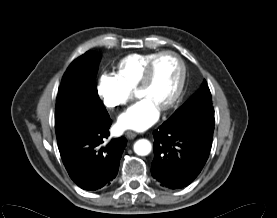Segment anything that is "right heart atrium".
Instances as JSON below:
<instances>
[{"mask_svg":"<svg viewBox=\"0 0 277 218\" xmlns=\"http://www.w3.org/2000/svg\"><path fill=\"white\" fill-rule=\"evenodd\" d=\"M97 91L104 105L108 108L125 105L133 94V89L118 74L108 71H103L100 74Z\"/></svg>","mask_w":277,"mask_h":218,"instance_id":"d8ad5b80","label":"right heart atrium"}]
</instances>
